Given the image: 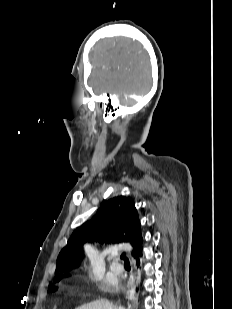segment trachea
I'll return each instance as SVG.
<instances>
[{
    "mask_svg": "<svg viewBox=\"0 0 232 309\" xmlns=\"http://www.w3.org/2000/svg\"><path fill=\"white\" fill-rule=\"evenodd\" d=\"M121 259L124 261L125 264H129V260H128V258L126 257V254H125V253H122V254H121Z\"/></svg>",
    "mask_w": 232,
    "mask_h": 309,
    "instance_id": "1",
    "label": "trachea"
}]
</instances>
